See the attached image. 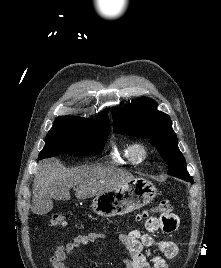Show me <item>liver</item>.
Returning <instances> with one entry per match:
<instances>
[{"instance_id":"liver-1","label":"liver","mask_w":221,"mask_h":268,"mask_svg":"<svg viewBox=\"0 0 221 268\" xmlns=\"http://www.w3.org/2000/svg\"><path fill=\"white\" fill-rule=\"evenodd\" d=\"M134 176L113 166L85 165L66 169L59 160L48 159L38 164L33 181L32 211L46 214L53 208V199L68 201L70 188L76 186L75 196L87 199L116 189Z\"/></svg>"}]
</instances>
